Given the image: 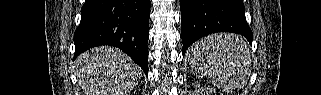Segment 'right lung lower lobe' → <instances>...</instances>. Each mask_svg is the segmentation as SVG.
<instances>
[{
  "instance_id": "obj_1",
  "label": "right lung lower lobe",
  "mask_w": 321,
  "mask_h": 95,
  "mask_svg": "<svg viewBox=\"0 0 321 95\" xmlns=\"http://www.w3.org/2000/svg\"><path fill=\"white\" fill-rule=\"evenodd\" d=\"M150 0H85L74 33L75 55L100 45L127 53L148 75Z\"/></svg>"
}]
</instances>
